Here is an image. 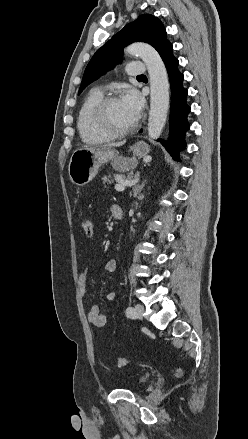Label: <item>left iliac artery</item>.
Wrapping results in <instances>:
<instances>
[{
    "label": "left iliac artery",
    "mask_w": 248,
    "mask_h": 439,
    "mask_svg": "<svg viewBox=\"0 0 248 439\" xmlns=\"http://www.w3.org/2000/svg\"><path fill=\"white\" fill-rule=\"evenodd\" d=\"M125 313H126L127 317H132L133 314H134V308L133 307H127Z\"/></svg>",
    "instance_id": "left-iliac-artery-1"
}]
</instances>
